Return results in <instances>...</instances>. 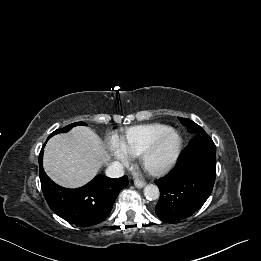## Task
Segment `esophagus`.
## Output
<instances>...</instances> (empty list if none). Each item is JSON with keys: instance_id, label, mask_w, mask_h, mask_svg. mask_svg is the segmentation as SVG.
Wrapping results in <instances>:
<instances>
[{"instance_id": "34e87169", "label": "esophagus", "mask_w": 261, "mask_h": 261, "mask_svg": "<svg viewBox=\"0 0 261 261\" xmlns=\"http://www.w3.org/2000/svg\"><path fill=\"white\" fill-rule=\"evenodd\" d=\"M145 182L141 180H135L134 185L136 188H143L145 186Z\"/></svg>"}]
</instances>
